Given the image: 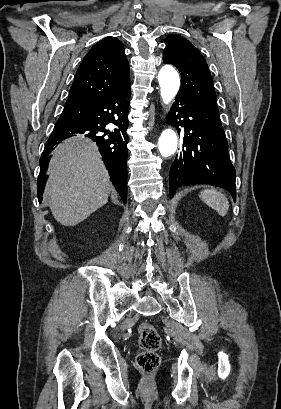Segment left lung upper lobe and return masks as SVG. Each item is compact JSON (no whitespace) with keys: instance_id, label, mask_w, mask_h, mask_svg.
<instances>
[{"instance_id":"1","label":"left lung upper lobe","mask_w":281,"mask_h":409,"mask_svg":"<svg viewBox=\"0 0 281 409\" xmlns=\"http://www.w3.org/2000/svg\"><path fill=\"white\" fill-rule=\"evenodd\" d=\"M163 62L180 72L182 84L178 94L186 95L213 112L218 111L216 93L207 63L188 40L170 35L165 39Z\"/></svg>"}]
</instances>
